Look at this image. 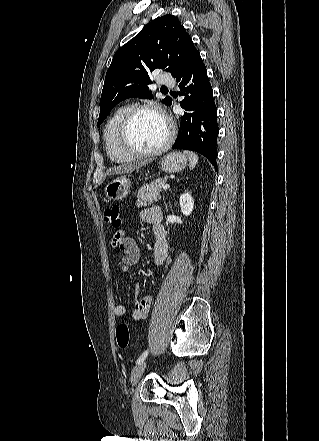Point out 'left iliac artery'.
Here are the masks:
<instances>
[{
  "mask_svg": "<svg viewBox=\"0 0 319 441\" xmlns=\"http://www.w3.org/2000/svg\"><path fill=\"white\" fill-rule=\"evenodd\" d=\"M148 352V350L144 351L142 355H140V357L137 359L136 364L143 362L146 359Z\"/></svg>",
  "mask_w": 319,
  "mask_h": 441,
  "instance_id": "left-iliac-artery-1",
  "label": "left iliac artery"
}]
</instances>
